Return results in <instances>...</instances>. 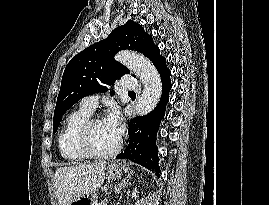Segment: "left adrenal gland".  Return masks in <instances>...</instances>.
I'll use <instances>...</instances> for the list:
<instances>
[{
  "mask_svg": "<svg viewBox=\"0 0 269 205\" xmlns=\"http://www.w3.org/2000/svg\"><path fill=\"white\" fill-rule=\"evenodd\" d=\"M130 179V175H128L127 177H125L117 186H116V194H120L121 190L123 188H125L128 184H130L129 182Z\"/></svg>",
  "mask_w": 269,
  "mask_h": 205,
  "instance_id": "obj_1",
  "label": "left adrenal gland"
}]
</instances>
